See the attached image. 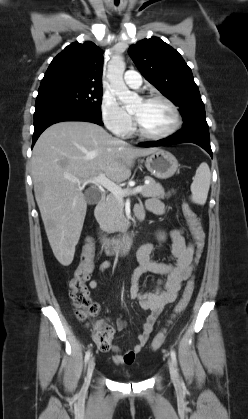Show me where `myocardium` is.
<instances>
[{
    "label": "myocardium",
    "instance_id": "1",
    "mask_svg": "<svg viewBox=\"0 0 248 419\" xmlns=\"http://www.w3.org/2000/svg\"><path fill=\"white\" fill-rule=\"evenodd\" d=\"M143 100L145 102H153V101H161L163 103H165L171 110L173 117H174V121L172 126L166 130L163 133H159V134H152V133H148L146 132L140 125L138 119L132 115L133 118V123H134V130L136 132V134L144 139H148V140H163L166 139L172 135H174L181 127L182 125V117H181V113L179 111V108L177 107V105L170 100L168 97L164 96V95H160V94H153V95H149L143 98Z\"/></svg>",
    "mask_w": 248,
    "mask_h": 419
}]
</instances>
